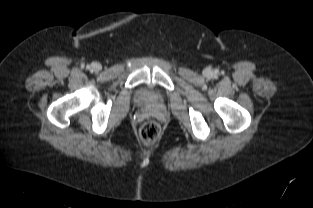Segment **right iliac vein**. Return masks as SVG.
Returning <instances> with one entry per match:
<instances>
[{
	"instance_id": "63e3f726",
	"label": "right iliac vein",
	"mask_w": 313,
	"mask_h": 208,
	"mask_svg": "<svg viewBox=\"0 0 313 208\" xmlns=\"http://www.w3.org/2000/svg\"><path fill=\"white\" fill-rule=\"evenodd\" d=\"M91 69L93 71H99V70H101V65L99 63H97V62H94V63L91 64Z\"/></svg>"
}]
</instances>
